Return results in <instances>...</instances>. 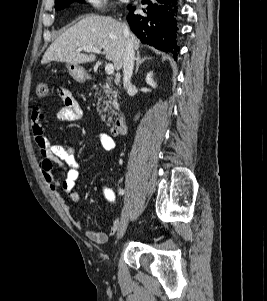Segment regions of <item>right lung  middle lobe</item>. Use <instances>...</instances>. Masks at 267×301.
Segmentation results:
<instances>
[{
	"mask_svg": "<svg viewBox=\"0 0 267 301\" xmlns=\"http://www.w3.org/2000/svg\"><path fill=\"white\" fill-rule=\"evenodd\" d=\"M74 1H78V0H56L55 1V9L56 10L63 9L66 6L70 5ZM79 1L83 2V0H79Z\"/></svg>",
	"mask_w": 267,
	"mask_h": 301,
	"instance_id": "obj_1",
	"label": "right lung middle lobe"
}]
</instances>
